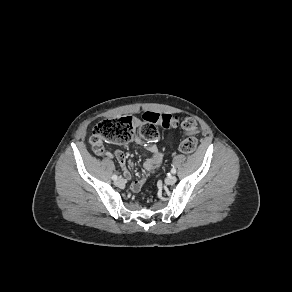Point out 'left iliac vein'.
I'll return each mask as SVG.
<instances>
[{"label":"left iliac vein","mask_w":292,"mask_h":292,"mask_svg":"<svg viewBox=\"0 0 292 292\" xmlns=\"http://www.w3.org/2000/svg\"><path fill=\"white\" fill-rule=\"evenodd\" d=\"M176 181H177V178H176L174 175L168 176V177L165 179V183H166L167 185H173Z\"/></svg>","instance_id":"4c4485c4"}]
</instances>
